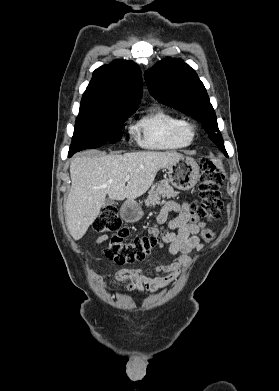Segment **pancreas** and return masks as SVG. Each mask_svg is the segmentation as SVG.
<instances>
[{
	"mask_svg": "<svg viewBox=\"0 0 279 391\" xmlns=\"http://www.w3.org/2000/svg\"><path fill=\"white\" fill-rule=\"evenodd\" d=\"M178 194L177 191H174L172 187L168 186L167 181L162 180L158 184L152 186L145 199V203L147 206H155L160 203L161 198H175Z\"/></svg>",
	"mask_w": 279,
	"mask_h": 391,
	"instance_id": "1",
	"label": "pancreas"
}]
</instances>
